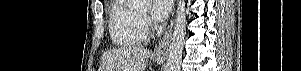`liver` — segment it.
<instances>
[{
  "label": "liver",
  "mask_w": 301,
  "mask_h": 71,
  "mask_svg": "<svg viewBox=\"0 0 301 71\" xmlns=\"http://www.w3.org/2000/svg\"><path fill=\"white\" fill-rule=\"evenodd\" d=\"M150 51L142 47H126L107 52L102 59L103 71H145Z\"/></svg>",
  "instance_id": "1"
}]
</instances>
